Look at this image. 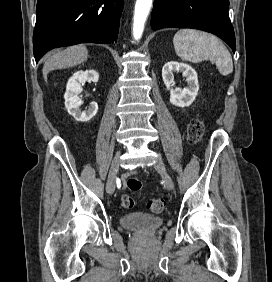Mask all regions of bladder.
<instances>
[{
  "instance_id": "31cf9c89",
  "label": "bladder",
  "mask_w": 272,
  "mask_h": 282,
  "mask_svg": "<svg viewBox=\"0 0 272 282\" xmlns=\"http://www.w3.org/2000/svg\"><path fill=\"white\" fill-rule=\"evenodd\" d=\"M120 224L129 230L148 234L158 229L163 224V220L155 215L131 213L120 217Z\"/></svg>"
}]
</instances>
